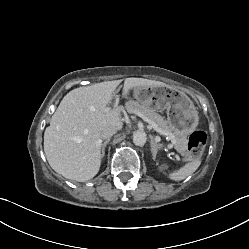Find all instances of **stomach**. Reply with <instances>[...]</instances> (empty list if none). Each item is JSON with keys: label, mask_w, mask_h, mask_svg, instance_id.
Instances as JSON below:
<instances>
[{"label": "stomach", "mask_w": 249, "mask_h": 249, "mask_svg": "<svg viewBox=\"0 0 249 249\" xmlns=\"http://www.w3.org/2000/svg\"><path fill=\"white\" fill-rule=\"evenodd\" d=\"M134 96L147 108L155 111L166 109L168 124L186 136L198 125V111L182 91L169 86H141L134 88Z\"/></svg>", "instance_id": "stomach-1"}]
</instances>
